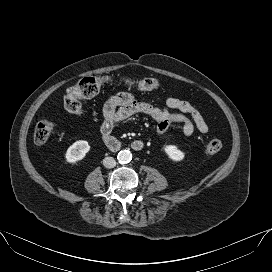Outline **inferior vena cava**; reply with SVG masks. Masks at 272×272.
Masks as SVG:
<instances>
[{
	"mask_svg": "<svg viewBox=\"0 0 272 272\" xmlns=\"http://www.w3.org/2000/svg\"><path fill=\"white\" fill-rule=\"evenodd\" d=\"M103 165L106 167V168H113L116 166V161L113 157H105L103 159Z\"/></svg>",
	"mask_w": 272,
	"mask_h": 272,
	"instance_id": "inferior-vena-cava-1",
	"label": "inferior vena cava"
}]
</instances>
